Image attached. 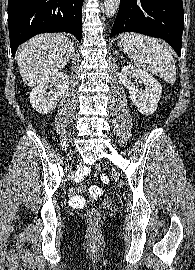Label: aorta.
<instances>
[{
  "instance_id": "1",
  "label": "aorta",
  "mask_w": 195,
  "mask_h": 270,
  "mask_svg": "<svg viewBox=\"0 0 195 270\" xmlns=\"http://www.w3.org/2000/svg\"><path fill=\"white\" fill-rule=\"evenodd\" d=\"M120 5V0H104V9L107 17H112L116 14Z\"/></svg>"
}]
</instances>
